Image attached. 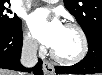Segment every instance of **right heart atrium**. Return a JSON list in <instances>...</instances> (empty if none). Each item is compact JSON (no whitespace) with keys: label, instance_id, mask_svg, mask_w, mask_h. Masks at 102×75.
Masks as SVG:
<instances>
[{"label":"right heart atrium","instance_id":"right-heart-atrium-1","mask_svg":"<svg viewBox=\"0 0 102 75\" xmlns=\"http://www.w3.org/2000/svg\"><path fill=\"white\" fill-rule=\"evenodd\" d=\"M23 44L25 49L29 52H35L38 49L36 41L28 33H25L23 36Z\"/></svg>","mask_w":102,"mask_h":75}]
</instances>
